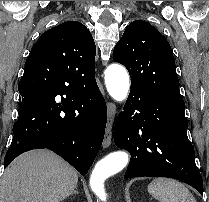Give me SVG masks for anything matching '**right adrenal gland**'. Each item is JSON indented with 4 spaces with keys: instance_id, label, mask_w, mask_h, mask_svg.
<instances>
[{
    "instance_id": "1",
    "label": "right adrenal gland",
    "mask_w": 209,
    "mask_h": 202,
    "mask_svg": "<svg viewBox=\"0 0 209 202\" xmlns=\"http://www.w3.org/2000/svg\"><path fill=\"white\" fill-rule=\"evenodd\" d=\"M73 194H78V191L77 190L73 191V193L71 195H73Z\"/></svg>"
}]
</instances>
